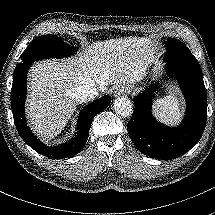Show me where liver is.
<instances>
[{"instance_id":"1","label":"liver","mask_w":215,"mask_h":215,"mask_svg":"<svg viewBox=\"0 0 215 215\" xmlns=\"http://www.w3.org/2000/svg\"><path fill=\"white\" fill-rule=\"evenodd\" d=\"M153 63L151 45L145 38L93 43L78 61L35 63L27 103L30 126L38 136L53 138L77 106L75 89L86 83H94L102 91L109 84L140 83Z\"/></svg>"}]
</instances>
